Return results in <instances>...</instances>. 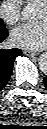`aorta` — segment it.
<instances>
[{
	"label": "aorta",
	"mask_w": 47,
	"mask_h": 129,
	"mask_svg": "<svg viewBox=\"0 0 47 129\" xmlns=\"http://www.w3.org/2000/svg\"><path fill=\"white\" fill-rule=\"evenodd\" d=\"M21 15L25 20H30L34 16V8L30 5L25 6L21 12ZM39 65H40V68L42 70L45 71L47 69V56H46V54H43L40 56Z\"/></svg>",
	"instance_id": "762f6f07"
}]
</instances>
